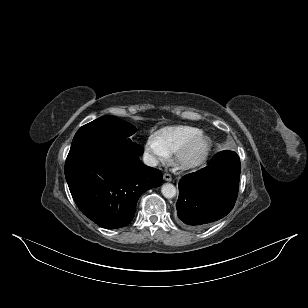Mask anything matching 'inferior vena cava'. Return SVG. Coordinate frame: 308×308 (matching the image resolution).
<instances>
[{
    "instance_id": "1",
    "label": "inferior vena cava",
    "mask_w": 308,
    "mask_h": 308,
    "mask_svg": "<svg viewBox=\"0 0 308 308\" xmlns=\"http://www.w3.org/2000/svg\"><path fill=\"white\" fill-rule=\"evenodd\" d=\"M143 162L145 165L150 167H155L158 164V161L150 154L146 153L143 156Z\"/></svg>"
}]
</instances>
